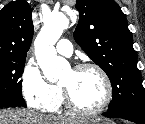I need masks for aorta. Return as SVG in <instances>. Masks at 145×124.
Segmentation results:
<instances>
[{
  "mask_svg": "<svg viewBox=\"0 0 145 124\" xmlns=\"http://www.w3.org/2000/svg\"><path fill=\"white\" fill-rule=\"evenodd\" d=\"M67 25L68 19L65 15L50 13L44 18V25L34 42L37 63L44 77L50 82L58 80L64 70L69 68L67 60L57 56L54 47Z\"/></svg>",
  "mask_w": 145,
  "mask_h": 124,
  "instance_id": "obj_1",
  "label": "aorta"
}]
</instances>
